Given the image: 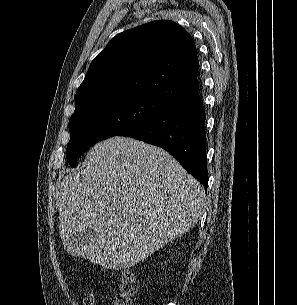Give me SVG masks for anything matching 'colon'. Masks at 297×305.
I'll return each mask as SVG.
<instances>
[{"instance_id":"colon-1","label":"colon","mask_w":297,"mask_h":305,"mask_svg":"<svg viewBox=\"0 0 297 305\" xmlns=\"http://www.w3.org/2000/svg\"><path fill=\"white\" fill-rule=\"evenodd\" d=\"M138 283L131 270L122 271L113 305H134Z\"/></svg>"}]
</instances>
